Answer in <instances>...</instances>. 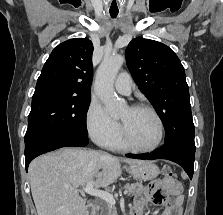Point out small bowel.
<instances>
[{"instance_id": "1", "label": "small bowel", "mask_w": 223, "mask_h": 215, "mask_svg": "<svg viewBox=\"0 0 223 215\" xmlns=\"http://www.w3.org/2000/svg\"><path fill=\"white\" fill-rule=\"evenodd\" d=\"M182 186L177 180L163 178L151 182L135 200L131 215H143L148 204L163 205L161 215H177L183 203Z\"/></svg>"}]
</instances>
